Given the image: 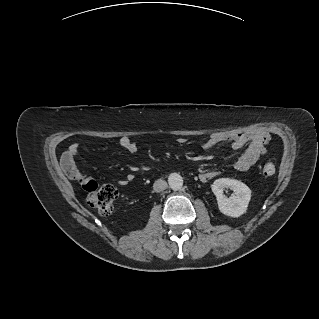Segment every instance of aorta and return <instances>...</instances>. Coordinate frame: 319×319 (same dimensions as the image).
I'll use <instances>...</instances> for the list:
<instances>
[{"instance_id": "aorta-1", "label": "aorta", "mask_w": 319, "mask_h": 319, "mask_svg": "<svg viewBox=\"0 0 319 319\" xmlns=\"http://www.w3.org/2000/svg\"><path fill=\"white\" fill-rule=\"evenodd\" d=\"M169 186L173 190H179L183 186V178L177 173H173L168 177Z\"/></svg>"}]
</instances>
